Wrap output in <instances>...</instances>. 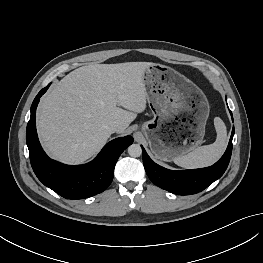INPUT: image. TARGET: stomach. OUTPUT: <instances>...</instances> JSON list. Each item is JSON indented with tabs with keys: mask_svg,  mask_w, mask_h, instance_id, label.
Segmentation results:
<instances>
[{
	"mask_svg": "<svg viewBox=\"0 0 263 263\" xmlns=\"http://www.w3.org/2000/svg\"><path fill=\"white\" fill-rule=\"evenodd\" d=\"M143 79L153 119L142 131L153 155L173 161L201 144L209 116V103L200 88L175 69L152 64Z\"/></svg>",
	"mask_w": 263,
	"mask_h": 263,
	"instance_id": "0dacf381",
	"label": "stomach"
}]
</instances>
